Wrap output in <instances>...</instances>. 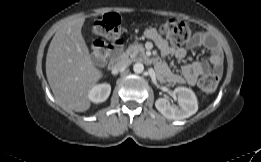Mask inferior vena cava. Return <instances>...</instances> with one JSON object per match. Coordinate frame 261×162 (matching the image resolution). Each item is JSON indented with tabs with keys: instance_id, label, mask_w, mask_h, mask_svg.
Segmentation results:
<instances>
[{
	"instance_id": "inferior-vena-cava-1",
	"label": "inferior vena cava",
	"mask_w": 261,
	"mask_h": 162,
	"mask_svg": "<svg viewBox=\"0 0 261 162\" xmlns=\"http://www.w3.org/2000/svg\"><path fill=\"white\" fill-rule=\"evenodd\" d=\"M130 64H131V61L129 59L120 60L113 66V71L119 72L120 70H123L126 67H128Z\"/></svg>"
}]
</instances>
